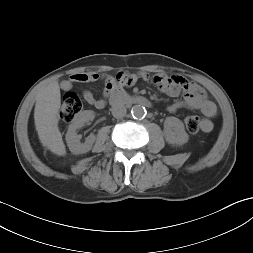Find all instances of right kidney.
Returning <instances> with one entry per match:
<instances>
[{
  "label": "right kidney",
  "instance_id": "obj_1",
  "mask_svg": "<svg viewBox=\"0 0 253 253\" xmlns=\"http://www.w3.org/2000/svg\"><path fill=\"white\" fill-rule=\"evenodd\" d=\"M94 118V112L86 110L81 112L69 125L66 133V142L69 150L73 154H83L92 149V146L96 140L95 135L91 134L85 141L81 143V136L77 134V129L81 128L86 122Z\"/></svg>",
  "mask_w": 253,
  "mask_h": 253
}]
</instances>
